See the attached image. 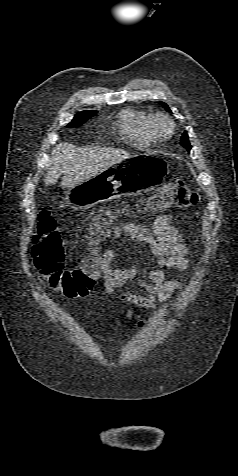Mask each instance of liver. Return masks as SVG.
<instances>
[{
	"mask_svg": "<svg viewBox=\"0 0 238 476\" xmlns=\"http://www.w3.org/2000/svg\"><path fill=\"white\" fill-rule=\"evenodd\" d=\"M128 157L127 151L118 148H78L60 143L52 150L44 182L55 185L63 175L62 187L69 189Z\"/></svg>",
	"mask_w": 238,
	"mask_h": 476,
	"instance_id": "1",
	"label": "liver"
}]
</instances>
